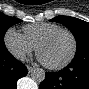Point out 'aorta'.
Instances as JSON below:
<instances>
[{
  "instance_id": "1",
  "label": "aorta",
  "mask_w": 89,
  "mask_h": 89,
  "mask_svg": "<svg viewBox=\"0 0 89 89\" xmlns=\"http://www.w3.org/2000/svg\"><path fill=\"white\" fill-rule=\"evenodd\" d=\"M30 76L33 81L41 83L45 79V71L42 68H33Z\"/></svg>"
}]
</instances>
